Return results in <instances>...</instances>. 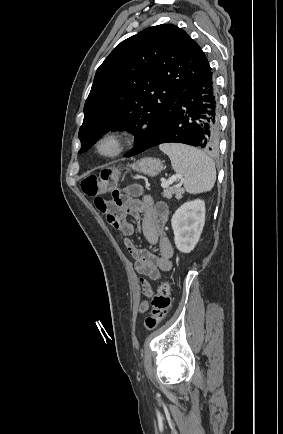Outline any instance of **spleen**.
Wrapping results in <instances>:
<instances>
[{"label": "spleen", "mask_w": 283, "mask_h": 434, "mask_svg": "<svg viewBox=\"0 0 283 434\" xmlns=\"http://www.w3.org/2000/svg\"><path fill=\"white\" fill-rule=\"evenodd\" d=\"M160 149L169 156L174 171L184 176L187 192L197 194L213 188L216 169L205 153L183 144H162Z\"/></svg>", "instance_id": "spleen-1"}]
</instances>
